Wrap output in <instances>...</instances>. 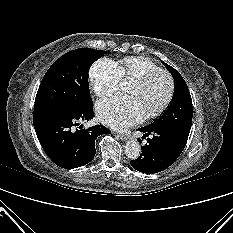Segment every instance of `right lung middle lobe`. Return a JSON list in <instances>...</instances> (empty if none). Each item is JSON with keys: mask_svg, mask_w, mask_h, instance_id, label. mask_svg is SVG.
Returning <instances> with one entry per match:
<instances>
[{"mask_svg": "<svg viewBox=\"0 0 233 233\" xmlns=\"http://www.w3.org/2000/svg\"><path fill=\"white\" fill-rule=\"evenodd\" d=\"M106 52L81 48L57 59L42 79L35 98L34 114L49 110H73L92 104L87 73Z\"/></svg>", "mask_w": 233, "mask_h": 233, "instance_id": "right-lung-middle-lobe-1", "label": "right lung middle lobe"}]
</instances>
